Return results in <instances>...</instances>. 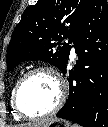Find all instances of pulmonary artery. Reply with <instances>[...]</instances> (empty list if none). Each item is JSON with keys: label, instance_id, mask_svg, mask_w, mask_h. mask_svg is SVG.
I'll return each mask as SVG.
<instances>
[{"label": "pulmonary artery", "instance_id": "e3ab8cb5", "mask_svg": "<svg viewBox=\"0 0 108 127\" xmlns=\"http://www.w3.org/2000/svg\"><path fill=\"white\" fill-rule=\"evenodd\" d=\"M71 56H72V57L75 56V48H74V47H72V49H71Z\"/></svg>", "mask_w": 108, "mask_h": 127}]
</instances>
